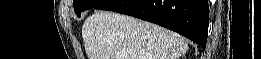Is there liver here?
<instances>
[{
  "label": "liver",
  "mask_w": 261,
  "mask_h": 59,
  "mask_svg": "<svg viewBox=\"0 0 261 59\" xmlns=\"http://www.w3.org/2000/svg\"><path fill=\"white\" fill-rule=\"evenodd\" d=\"M82 36L88 59H178L188 47L175 32L107 11L88 17Z\"/></svg>",
  "instance_id": "1"
}]
</instances>
